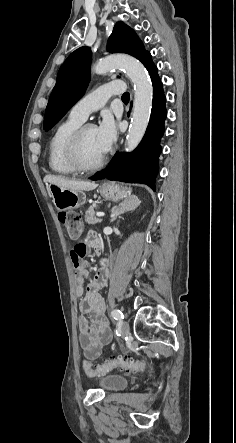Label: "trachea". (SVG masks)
I'll return each instance as SVG.
<instances>
[{
  "label": "trachea",
  "mask_w": 236,
  "mask_h": 443,
  "mask_svg": "<svg viewBox=\"0 0 236 443\" xmlns=\"http://www.w3.org/2000/svg\"><path fill=\"white\" fill-rule=\"evenodd\" d=\"M129 98H130V95H129L128 92H125V93L122 95V100H123L124 102H128V101H129Z\"/></svg>",
  "instance_id": "trachea-1"
}]
</instances>
